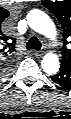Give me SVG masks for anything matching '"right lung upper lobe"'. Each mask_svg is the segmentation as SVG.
<instances>
[{
  "mask_svg": "<svg viewBox=\"0 0 71 119\" xmlns=\"http://www.w3.org/2000/svg\"><path fill=\"white\" fill-rule=\"evenodd\" d=\"M1 16L2 19L4 20L5 18H7L9 16V12L6 9L1 8ZM2 41H4V43L8 46L7 49H9V51L13 52L14 48H15V40H11L8 36L3 35L2 36Z\"/></svg>",
  "mask_w": 71,
  "mask_h": 119,
  "instance_id": "cb5924a9",
  "label": "right lung upper lobe"
}]
</instances>
